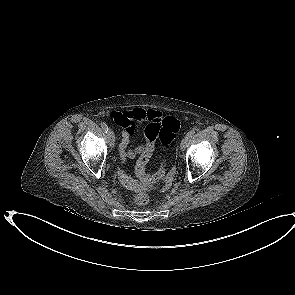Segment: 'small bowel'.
Masks as SVG:
<instances>
[{"label": "small bowel", "instance_id": "c3829d8e", "mask_svg": "<svg viewBox=\"0 0 295 295\" xmlns=\"http://www.w3.org/2000/svg\"><path fill=\"white\" fill-rule=\"evenodd\" d=\"M112 118L116 123L123 127L122 140L119 144V153L123 161L127 158L134 159L139 155H142L145 145L149 143V138L145 136V142L143 144L138 145L133 149H129V142L134 132L135 123H146L147 126L154 121L162 120L161 114L158 111L152 109L144 110L141 108H136L126 112H114L112 114ZM117 179L122 181L123 184L129 188L140 189L142 187V182L140 180H134L133 178L126 176L124 172H119L117 174Z\"/></svg>", "mask_w": 295, "mask_h": 295}]
</instances>
